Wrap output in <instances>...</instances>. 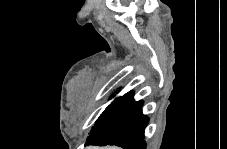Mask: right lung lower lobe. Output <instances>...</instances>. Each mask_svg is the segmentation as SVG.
Masks as SVG:
<instances>
[{
	"label": "right lung lower lobe",
	"mask_w": 227,
	"mask_h": 149,
	"mask_svg": "<svg viewBox=\"0 0 227 149\" xmlns=\"http://www.w3.org/2000/svg\"><path fill=\"white\" fill-rule=\"evenodd\" d=\"M142 106L143 101H134L122 115L94 131L86 144L146 149L144 130L149 118L142 113Z\"/></svg>",
	"instance_id": "98d812e1"
}]
</instances>
